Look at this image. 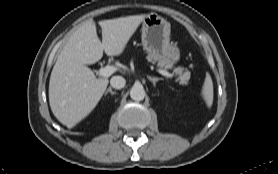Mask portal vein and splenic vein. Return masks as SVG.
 <instances>
[{"instance_id": "18ae733b", "label": "portal vein and splenic vein", "mask_w": 278, "mask_h": 174, "mask_svg": "<svg viewBox=\"0 0 278 174\" xmlns=\"http://www.w3.org/2000/svg\"><path fill=\"white\" fill-rule=\"evenodd\" d=\"M116 71V68L113 66H105L99 70V76L101 77H109ZM159 73L167 78H172L174 75L169 73L166 70H159Z\"/></svg>"}]
</instances>
